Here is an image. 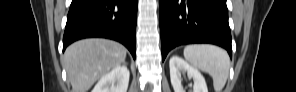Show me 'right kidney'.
<instances>
[{
	"instance_id": "1",
	"label": "right kidney",
	"mask_w": 296,
	"mask_h": 92,
	"mask_svg": "<svg viewBox=\"0 0 296 92\" xmlns=\"http://www.w3.org/2000/svg\"><path fill=\"white\" fill-rule=\"evenodd\" d=\"M129 76L126 65L117 66L100 78L92 92H127Z\"/></svg>"
}]
</instances>
